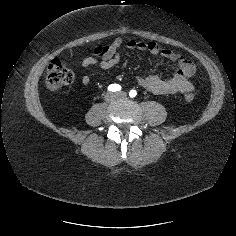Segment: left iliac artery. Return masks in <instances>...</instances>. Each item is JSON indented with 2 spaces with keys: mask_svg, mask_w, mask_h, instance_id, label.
<instances>
[{
  "mask_svg": "<svg viewBox=\"0 0 236 236\" xmlns=\"http://www.w3.org/2000/svg\"><path fill=\"white\" fill-rule=\"evenodd\" d=\"M136 95H137L136 90H131V91L129 92V96H130L131 98H134Z\"/></svg>",
  "mask_w": 236,
  "mask_h": 236,
  "instance_id": "obj_1",
  "label": "left iliac artery"
}]
</instances>
